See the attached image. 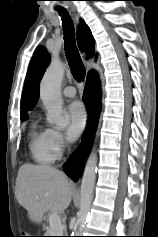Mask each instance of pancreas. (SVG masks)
Returning a JSON list of instances; mask_svg holds the SVG:
<instances>
[{
    "instance_id": "1",
    "label": "pancreas",
    "mask_w": 158,
    "mask_h": 237,
    "mask_svg": "<svg viewBox=\"0 0 158 237\" xmlns=\"http://www.w3.org/2000/svg\"><path fill=\"white\" fill-rule=\"evenodd\" d=\"M46 233H47V234H46L47 236H58V235H62V233H63V227L60 226L59 228L54 229V228H52V227L50 226V227H48Z\"/></svg>"
}]
</instances>
